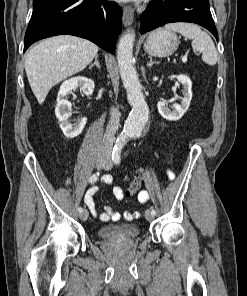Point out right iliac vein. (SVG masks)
<instances>
[{
  "mask_svg": "<svg viewBox=\"0 0 247 296\" xmlns=\"http://www.w3.org/2000/svg\"><path fill=\"white\" fill-rule=\"evenodd\" d=\"M106 162V158L105 156L103 155H99L96 159V167L97 168H100L102 167ZM80 219L85 221L87 218H88V211L87 210H83L81 213H80Z\"/></svg>",
  "mask_w": 247,
  "mask_h": 296,
  "instance_id": "1",
  "label": "right iliac vein"
}]
</instances>
